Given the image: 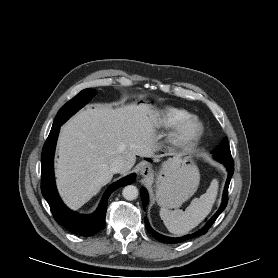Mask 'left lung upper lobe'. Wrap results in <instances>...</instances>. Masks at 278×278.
<instances>
[{"mask_svg": "<svg viewBox=\"0 0 278 278\" xmlns=\"http://www.w3.org/2000/svg\"><path fill=\"white\" fill-rule=\"evenodd\" d=\"M216 159L225 164H234L227 137H225L221 144L214 149Z\"/></svg>", "mask_w": 278, "mask_h": 278, "instance_id": "left-lung-upper-lobe-1", "label": "left lung upper lobe"}]
</instances>
